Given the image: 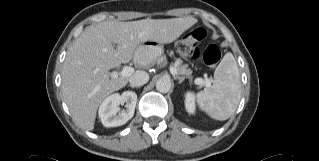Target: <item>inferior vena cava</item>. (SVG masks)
<instances>
[{"mask_svg":"<svg viewBox=\"0 0 319 161\" xmlns=\"http://www.w3.org/2000/svg\"><path fill=\"white\" fill-rule=\"evenodd\" d=\"M149 81V75L145 71H136L130 78L129 83L134 87L142 86Z\"/></svg>","mask_w":319,"mask_h":161,"instance_id":"1","label":"inferior vena cava"}]
</instances>
